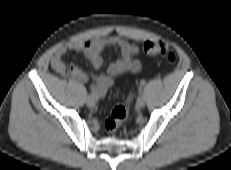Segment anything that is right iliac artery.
I'll return each instance as SVG.
<instances>
[{
	"label": "right iliac artery",
	"mask_w": 231,
	"mask_h": 170,
	"mask_svg": "<svg viewBox=\"0 0 231 170\" xmlns=\"http://www.w3.org/2000/svg\"><path fill=\"white\" fill-rule=\"evenodd\" d=\"M90 96L97 100V97H95L92 93L90 94Z\"/></svg>",
	"instance_id": "1"
}]
</instances>
